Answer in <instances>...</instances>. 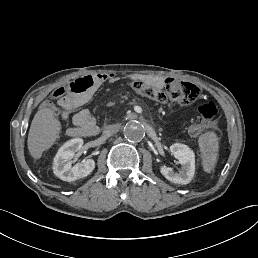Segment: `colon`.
Instances as JSON below:
<instances>
[{"label":"colon","instance_id":"colon-1","mask_svg":"<svg viewBox=\"0 0 258 258\" xmlns=\"http://www.w3.org/2000/svg\"><path fill=\"white\" fill-rule=\"evenodd\" d=\"M134 89L141 95L158 103L166 101L175 102L181 105H190L197 101L200 89L189 82L169 78L165 81L164 89H159L154 85L142 81L133 84ZM71 89V86H68ZM66 93V88L60 87L53 93L55 98H60ZM47 106H51L50 103ZM199 120L192 123L188 132L191 136L200 135L208 123L218 114V108L213 102H207L199 106Z\"/></svg>","mask_w":258,"mask_h":258}]
</instances>
